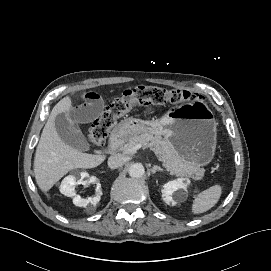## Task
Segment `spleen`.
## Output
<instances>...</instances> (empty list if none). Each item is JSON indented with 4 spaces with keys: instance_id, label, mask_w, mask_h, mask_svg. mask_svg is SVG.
Instances as JSON below:
<instances>
[{
    "instance_id": "1",
    "label": "spleen",
    "mask_w": 271,
    "mask_h": 271,
    "mask_svg": "<svg viewBox=\"0 0 271 271\" xmlns=\"http://www.w3.org/2000/svg\"><path fill=\"white\" fill-rule=\"evenodd\" d=\"M221 194L222 187L218 184L200 192L193 200L191 212L201 214L208 211L219 201Z\"/></svg>"
}]
</instances>
